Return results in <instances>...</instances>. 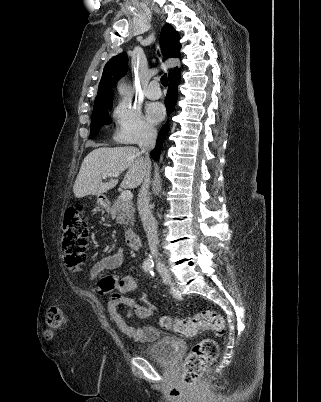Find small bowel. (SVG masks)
I'll return each mask as SVG.
<instances>
[{"instance_id":"c3829d8e","label":"small bowel","mask_w":321,"mask_h":402,"mask_svg":"<svg viewBox=\"0 0 321 402\" xmlns=\"http://www.w3.org/2000/svg\"><path fill=\"white\" fill-rule=\"evenodd\" d=\"M124 253L122 250L107 255L94 263L91 269L92 276H98L110 270L117 269L123 262ZM118 290L124 296L119 301H110L107 304V310L110 319L117 325L118 329L129 339L140 342H152L157 338L158 330L152 326H137L130 322L133 315L140 318H148L152 315L155 307L151 304L138 303L133 295L137 292V283L131 276H125L121 279L116 277L104 278L100 282L99 291L102 294H109ZM124 305L125 312L120 314L118 306Z\"/></svg>"}]
</instances>
